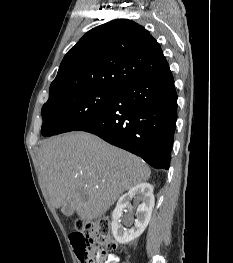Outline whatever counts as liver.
<instances>
[{"label":"liver","mask_w":233,"mask_h":263,"mask_svg":"<svg viewBox=\"0 0 233 263\" xmlns=\"http://www.w3.org/2000/svg\"><path fill=\"white\" fill-rule=\"evenodd\" d=\"M38 157L53 207L70 205L86 221L100 218L123 192L151 174L140 158L86 132L45 140Z\"/></svg>","instance_id":"obj_1"}]
</instances>
